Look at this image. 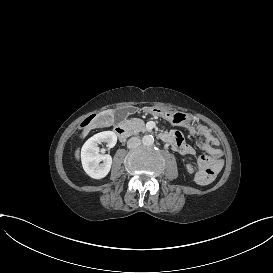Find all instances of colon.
<instances>
[{"instance_id":"colon-1","label":"colon","mask_w":273,"mask_h":273,"mask_svg":"<svg viewBox=\"0 0 273 273\" xmlns=\"http://www.w3.org/2000/svg\"><path fill=\"white\" fill-rule=\"evenodd\" d=\"M220 157L219 153H215L213 157H204L200 161V168L202 171L198 174V181L202 185H209L212 183L213 178L220 172V165L218 162Z\"/></svg>"}]
</instances>
